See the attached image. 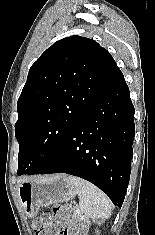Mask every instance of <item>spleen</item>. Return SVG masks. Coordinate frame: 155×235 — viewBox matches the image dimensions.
<instances>
[{"label":"spleen","instance_id":"obj_1","mask_svg":"<svg viewBox=\"0 0 155 235\" xmlns=\"http://www.w3.org/2000/svg\"><path fill=\"white\" fill-rule=\"evenodd\" d=\"M70 183L75 187L80 203V212L87 218L107 220L111 216L109 198L96 186L82 178L69 176Z\"/></svg>","mask_w":155,"mask_h":235}]
</instances>
